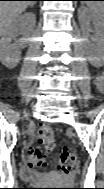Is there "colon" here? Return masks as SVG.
Masks as SVG:
<instances>
[{
    "instance_id": "5ec220e1",
    "label": "colon",
    "mask_w": 104,
    "mask_h": 189,
    "mask_svg": "<svg viewBox=\"0 0 104 189\" xmlns=\"http://www.w3.org/2000/svg\"><path fill=\"white\" fill-rule=\"evenodd\" d=\"M55 139L51 127L43 125L38 130V143L28 150V165L32 171L42 172L47 169L45 156L54 150ZM77 162V155L71 149H65L58 160L56 169L60 172H69Z\"/></svg>"
}]
</instances>
